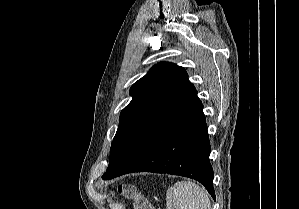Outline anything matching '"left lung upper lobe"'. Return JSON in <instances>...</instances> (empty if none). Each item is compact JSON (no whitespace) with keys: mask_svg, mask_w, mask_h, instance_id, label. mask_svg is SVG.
<instances>
[{"mask_svg":"<svg viewBox=\"0 0 299 209\" xmlns=\"http://www.w3.org/2000/svg\"><path fill=\"white\" fill-rule=\"evenodd\" d=\"M189 84L184 68L172 63H159L132 85L130 95L133 98L120 114L119 126L110 149L108 168L145 121Z\"/></svg>","mask_w":299,"mask_h":209,"instance_id":"obj_1","label":"left lung upper lobe"}]
</instances>
